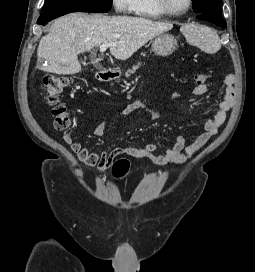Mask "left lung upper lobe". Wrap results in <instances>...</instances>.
I'll use <instances>...</instances> for the list:
<instances>
[{
	"mask_svg": "<svg viewBox=\"0 0 255 272\" xmlns=\"http://www.w3.org/2000/svg\"><path fill=\"white\" fill-rule=\"evenodd\" d=\"M197 13L215 12L221 14V0H192Z\"/></svg>",
	"mask_w": 255,
	"mask_h": 272,
	"instance_id": "obj_1",
	"label": "left lung upper lobe"
}]
</instances>
